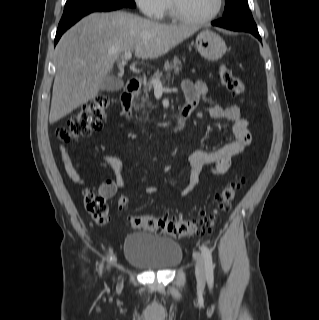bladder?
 <instances>
[{"instance_id":"obj_1","label":"bladder","mask_w":319,"mask_h":320,"mask_svg":"<svg viewBox=\"0 0 319 320\" xmlns=\"http://www.w3.org/2000/svg\"><path fill=\"white\" fill-rule=\"evenodd\" d=\"M124 256L128 263L144 270L166 271L180 264L183 252L171 237L130 233L124 241Z\"/></svg>"}]
</instances>
